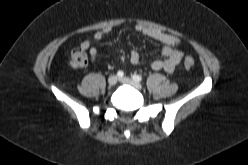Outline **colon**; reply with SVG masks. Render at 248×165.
<instances>
[{"instance_id":"1","label":"colon","mask_w":248,"mask_h":165,"mask_svg":"<svg viewBox=\"0 0 248 165\" xmlns=\"http://www.w3.org/2000/svg\"><path fill=\"white\" fill-rule=\"evenodd\" d=\"M69 63L74 68H82L87 64V55L82 48H75L72 50ZM195 65L193 58L186 57L184 60V67L186 69H191Z\"/></svg>"}]
</instances>
